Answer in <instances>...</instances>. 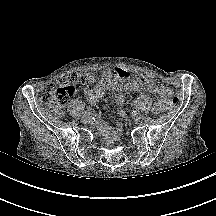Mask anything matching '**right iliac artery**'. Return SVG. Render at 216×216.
I'll use <instances>...</instances> for the list:
<instances>
[{
	"mask_svg": "<svg viewBox=\"0 0 216 216\" xmlns=\"http://www.w3.org/2000/svg\"><path fill=\"white\" fill-rule=\"evenodd\" d=\"M92 113V108L88 107L85 111V114H90Z\"/></svg>",
	"mask_w": 216,
	"mask_h": 216,
	"instance_id": "1",
	"label": "right iliac artery"
}]
</instances>
